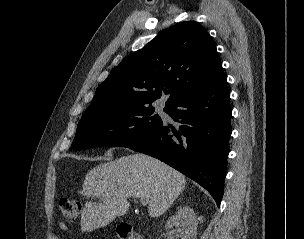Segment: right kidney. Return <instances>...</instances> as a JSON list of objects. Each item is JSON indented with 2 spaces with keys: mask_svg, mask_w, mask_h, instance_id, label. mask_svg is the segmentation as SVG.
Listing matches in <instances>:
<instances>
[{
  "mask_svg": "<svg viewBox=\"0 0 304 239\" xmlns=\"http://www.w3.org/2000/svg\"><path fill=\"white\" fill-rule=\"evenodd\" d=\"M197 225L198 220L194 210L188 206H184L167 220L165 227L171 229L169 231L171 239H195Z\"/></svg>",
  "mask_w": 304,
  "mask_h": 239,
  "instance_id": "obj_1",
  "label": "right kidney"
}]
</instances>
